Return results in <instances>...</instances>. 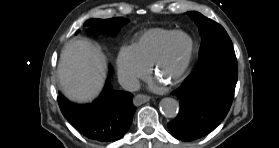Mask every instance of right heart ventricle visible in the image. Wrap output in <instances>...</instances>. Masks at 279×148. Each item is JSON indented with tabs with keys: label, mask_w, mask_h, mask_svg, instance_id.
I'll use <instances>...</instances> for the list:
<instances>
[{
	"label": "right heart ventricle",
	"mask_w": 279,
	"mask_h": 148,
	"mask_svg": "<svg viewBox=\"0 0 279 148\" xmlns=\"http://www.w3.org/2000/svg\"><path fill=\"white\" fill-rule=\"evenodd\" d=\"M173 32L174 30L163 28L150 29L138 37L137 41L132 45V49L137 57L150 67L165 41Z\"/></svg>",
	"instance_id": "right-heart-ventricle-1"
}]
</instances>
